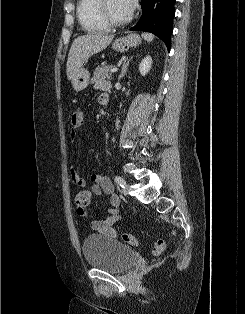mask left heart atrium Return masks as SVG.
Listing matches in <instances>:
<instances>
[{
  "instance_id": "left-heart-atrium-1",
  "label": "left heart atrium",
  "mask_w": 245,
  "mask_h": 314,
  "mask_svg": "<svg viewBox=\"0 0 245 314\" xmlns=\"http://www.w3.org/2000/svg\"><path fill=\"white\" fill-rule=\"evenodd\" d=\"M121 4L128 10L132 11L135 5V0H119Z\"/></svg>"
}]
</instances>
